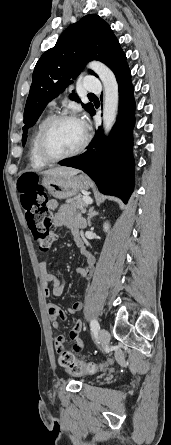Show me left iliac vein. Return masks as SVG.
Here are the masks:
<instances>
[{
    "mask_svg": "<svg viewBox=\"0 0 171 445\" xmlns=\"http://www.w3.org/2000/svg\"><path fill=\"white\" fill-rule=\"evenodd\" d=\"M99 340H100L102 345L109 344L110 335H109V332L106 329H104V328L100 329V331H99Z\"/></svg>",
    "mask_w": 171,
    "mask_h": 445,
    "instance_id": "1",
    "label": "left iliac vein"
}]
</instances>
